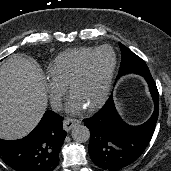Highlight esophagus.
Instances as JSON below:
<instances>
[{
	"label": "esophagus",
	"instance_id": "obj_1",
	"mask_svg": "<svg viewBox=\"0 0 171 171\" xmlns=\"http://www.w3.org/2000/svg\"><path fill=\"white\" fill-rule=\"evenodd\" d=\"M80 121L78 119L66 118L63 121V129L69 132L74 126L78 125Z\"/></svg>",
	"mask_w": 171,
	"mask_h": 171
}]
</instances>
